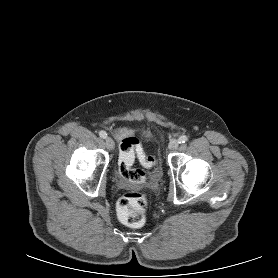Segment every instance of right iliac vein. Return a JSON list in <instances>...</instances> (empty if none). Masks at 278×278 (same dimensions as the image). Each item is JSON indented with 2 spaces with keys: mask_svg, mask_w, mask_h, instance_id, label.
Wrapping results in <instances>:
<instances>
[{
  "mask_svg": "<svg viewBox=\"0 0 278 278\" xmlns=\"http://www.w3.org/2000/svg\"><path fill=\"white\" fill-rule=\"evenodd\" d=\"M105 144H106V147L109 149V150H113L114 149V141L110 138V137H107L105 139Z\"/></svg>",
  "mask_w": 278,
  "mask_h": 278,
  "instance_id": "1",
  "label": "right iliac vein"
}]
</instances>
